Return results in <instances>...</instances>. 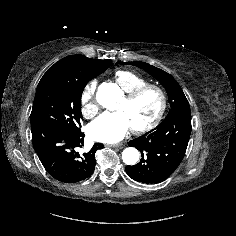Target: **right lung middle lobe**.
Returning <instances> with one entry per match:
<instances>
[{
    "label": "right lung middle lobe",
    "mask_w": 236,
    "mask_h": 236,
    "mask_svg": "<svg viewBox=\"0 0 236 236\" xmlns=\"http://www.w3.org/2000/svg\"><path fill=\"white\" fill-rule=\"evenodd\" d=\"M111 62L92 72L74 77L58 75L43 76L40 80L30 115L31 125L44 124L64 129L70 133L80 132L81 95L86 84L103 73Z\"/></svg>",
    "instance_id": "obj_1"
}]
</instances>
